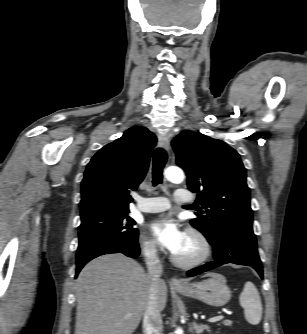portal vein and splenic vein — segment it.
<instances>
[{
	"label": "portal vein and splenic vein",
	"instance_id": "18ae733b",
	"mask_svg": "<svg viewBox=\"0 0 307 334\" xmlns=\"http://www.w3.org/2000/svg\"><path fill=\"white\" fill-rule=\"evenodd\" d=\"M132 314L129 313L127 314V316H131ZM223 319V316L222 315H219V316H215V317H212L210 319H208V322L212 323V322H217V321H220Z\"/></svg>",
	"mask_w": 307,
	"mask_h": 334
}]
</instances>
